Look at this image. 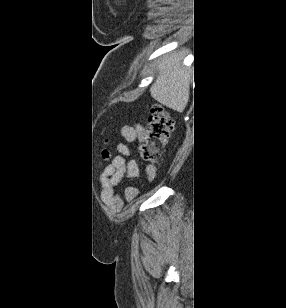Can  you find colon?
I'll return each instance as SVG.
<instances>
[{"label": "colon", "instance_id": "1", "mask_svg": "<svg viewBox=\"0 0 286 308\" xmlns=\"http://www.w3.org/2000/svg\"><path fill=\"white\" fill-rule=\"evenodd\" d=\"M174 126L173 119L163 107H153L147 126L140 138L138 146L140 156L146 161L154 162L170 138ZM108 157L109 152L104 150L102 158L107 159Z\"/></svg>", "mask_w": 286, "mask_h": 308}]
</instances>
